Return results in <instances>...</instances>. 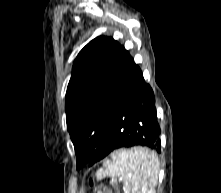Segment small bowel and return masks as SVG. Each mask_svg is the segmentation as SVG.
Here are the masks:
<instances>
[{
    "label": "small bowel",
    "instance_id": "small-bowel-1",
    "mask_svg": "<svg viewBox=\"0 0 221 193\" xmlns=\"http://www.w3.org/2000/svg\"><path fill=\"white\" fill-rule=\"evenodd\" d=\"M103 188L105 189V193H112V191L109 188L107 187H103Z\"/></svg>",
    "mask_w": 221,
    "mask_h": 193
}]
</instances>
